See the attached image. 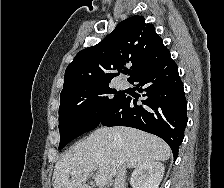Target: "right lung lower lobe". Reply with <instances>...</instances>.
I'll use <instances>...</instances> for the list:
<instances>
[{
    "instance_id": "obj_1",
    "label": "right lung lower lobe",
    "mask_w": 224,
    "mask_h": 188,
    "mask_svg": "<svg viewBox=\"0 0 224 188\" xmlns=\"http://www.w3.org/2000/svg\"><path fill=\"white\" fill-rule=\"evenodd\" d=\"M143 92L125 95L122 102L101 122L104 126H128L155 134L171 147L174 160L184 138L187 125V101L178 67L168 53L154 66L142 71L130 81Z\"/></svg>"
}]
</instances>
